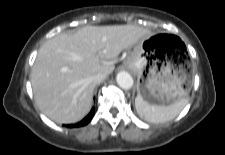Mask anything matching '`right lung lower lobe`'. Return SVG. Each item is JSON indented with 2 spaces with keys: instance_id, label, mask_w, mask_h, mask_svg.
Here are the masks:
<instances>
[{
  "instance_id": "right-lung-lower-lobe-1",
  "label": "right lung lower lobe",
  "mask_w": 225,
  "mask_h": 155,
  "mask_svg": "<svg viewBox=\"0 0 225 155\" xmlns=\"http://www.w3.org/2000/svg\"><path fill=\"white\" fill-rule=\"evenodd\" d=\"M94 113H95V108L93 107L91 109L90 113L81 122L74 124V125H68V127H73V126L80 127V126H84V125L88 124L91 121Z\"/></svg>"
}]
</instances>
